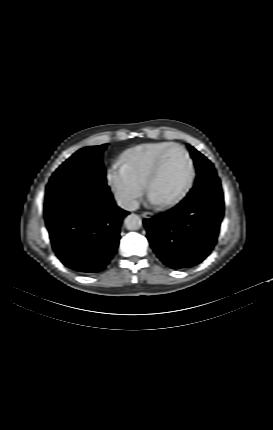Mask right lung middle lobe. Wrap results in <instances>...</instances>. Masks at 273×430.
Instances as JSON below:
<instances>
[{"label": "right lung middle lobe", "instance_id": "dd1d6c3e", "mask_svg": "<svg viewBox=\"0 0 273 430\" xmlns=\"http://www.w3.org/2000/svg\"><path fill=\"white\" fill-rule=\"evenodd\" d=\"M107 144L80 149L52 175L44 207L85 193L109 194L101 156Z\"/></svg>", "mask_w": 273, "mask_h": 430}]
</instances>
